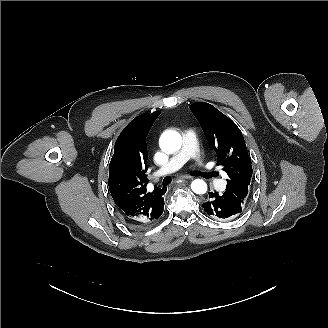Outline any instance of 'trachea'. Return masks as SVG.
Instances as JSON below:
<instances>
[{
	"label": "trachea",
	"mask_w": 328,
	"mask_h": 328,
	"mask_svg": "<svg viewBox=\"0 0 328 328\" xmlns=\"http://www.w3.org/2000/svg\"><path fill=\"white\" fill-rule=\"evenodd\" d=\"M171 181H172V178H171L170 176H166V177L163 179V185H164V186H167Z\"/></svg>",
	"instance_id": "1"
}]
</instances>
